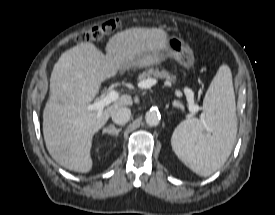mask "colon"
<instances>
[{
    "mask_svg": "<svg viewBox=\"0 0 275 215\" xmlns=\"http://www.w3.org/2000/svg\"><path fill=\"white\" fill-rule=\"evenodd\" d=\"M121 25L122 21L120 19H111L80 33L76 37V40L78 42H97L115 33Z\"/></svg>",
    "mask_w": 275,
    "mask_h": 215,
    "instance_id": "obj_1",
    "label": "colon"
}]
</instances>
